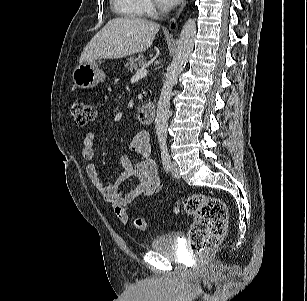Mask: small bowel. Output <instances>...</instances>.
<instances>
[{
    "instance_id": "small-bowel-1",
    "label": "small bowel",
    "mask_w": 307,
    "mask_h": 301,
    "mask_svg": "<svg viewBox=\"0 0 307 301\" xmlns=\"http://www.w3.org/2000/svg\"><path fill=\"white\" fill-rule=\"evenodd\" d=\"M97 137L98 133L95 130H89L84 134L82 157L87 161L94 157V144ZM130 148L141 155L143 160L133 163L130 154L125 153L121 157L122 171L111 183H104L101 180L94 164L90 163L86 166L89 180L98 189L103 199L112 206L115 215L122 223L127 222L128 211L132 204L140 198L151 197L162 189L157 167L152 159L149 133L145 130L137 132L131 141ZM131 178L136 179L135 186L129 192L123 193L122 187Z\"/></svg>"
}]
</instances>
